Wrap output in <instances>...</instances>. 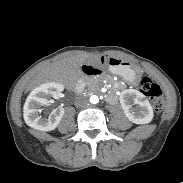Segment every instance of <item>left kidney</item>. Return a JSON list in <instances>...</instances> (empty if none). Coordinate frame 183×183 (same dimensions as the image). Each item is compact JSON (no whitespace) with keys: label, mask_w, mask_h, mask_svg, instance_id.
I'll return each instance as SVG.
<instances>
[{"label":"left kidney","mask_w":183,"mask_h":183,"mask_svg":"<svg viewBox=\"0 0 183 183\" xmlns=\"http://www.w3.org/2000/svg\"><path fill=\"white\" fill-rule=\"evenodd\" d=\"M119 100L126 117L132 123L148 124L152 121L154 116L152 106L140 91L126 89L121 92Z\"/></svg>","instance_id":"5707ae66"}]
</instances>
